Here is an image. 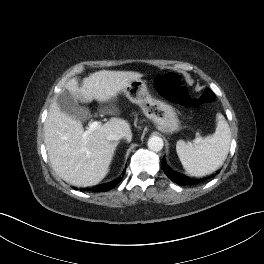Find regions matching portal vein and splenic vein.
Wrapping results in <instances>:
<instances>
[{
	"label": "portal vein and splenic vein",
	"mask_w": 264,
	"mask_h": 264,
	"mask_svg": "<svg viewBox=\"0 0 264 264\" xmlns=\"http://www.w3.org/2000/svg\"><path fill=\"white\" fill-rule=\"evenodd\" d=\"M100 127V122L94 121L89 124V128L84 132L83 136L86 137L92 131L98 129Z\"/></svg>",
	"instance_id": "portal-vein-and-splenic-vein-1"
}]
</instances>
